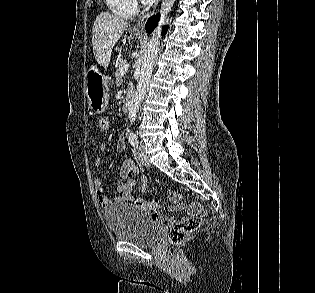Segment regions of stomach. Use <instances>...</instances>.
I'll return each instance as SVG.
<instances>
[{"label":"stomach","mask_w":315,"mask_h":293,"mask_svg":"<svg viewBox=\"0 0 315 293\" xmlns=\"http://www.w3.org/2000/svg\"><path fill=\"white\" fill-rule=\"evenodd\" d=\"M136 38L142 39V35L133 34ZM98 65L100 62L97 61ZM110 88V79L99 71L97 65L91 67L87 75L86 95L91 110L94 113H103L108 105V92Z\"/></svg>","instance_id":"obj_1"}]
</instances>
